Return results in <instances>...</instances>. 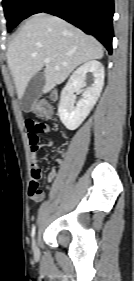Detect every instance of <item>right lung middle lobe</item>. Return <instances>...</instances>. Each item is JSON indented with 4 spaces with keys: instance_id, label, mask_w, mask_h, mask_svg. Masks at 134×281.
<instances>
[{
    "instance_id": "1",
    "label": "right lung middle lobe",
    "mask_w": 134,
    "mask_h": 281,
    "mask_svg": "<svg viewBox=\"0 0 134 281\" xmlns=\"http://www.w3.org/2000/svg\"><path fill=\"white\" fill-rule=\"evenodd\" d=\"M36 0H2L8 31L26 19Z\"/></svg>"
}]
</instances>
